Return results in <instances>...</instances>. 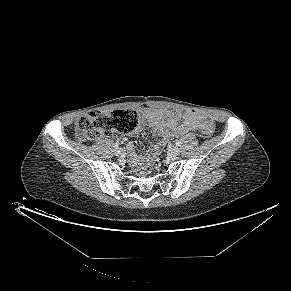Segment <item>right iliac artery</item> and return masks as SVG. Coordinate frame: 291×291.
Here are the masks:
<instances>
[{"mask_svg":"<svg viewBox=\"0 0 291 291\" xmlns=\"http://www.w3.org/2000/svg\"><path fill=\"white\" fill-rule=\"evenodd\" d=\"M113 147H114L115 149H117V148L119 147V145H118L117 143H115V144H113Z\"/></svg>","mask_w":291,"mask_h":291,"instance_id":"obj_1","label":"right iliac artery"}]
</instances>
